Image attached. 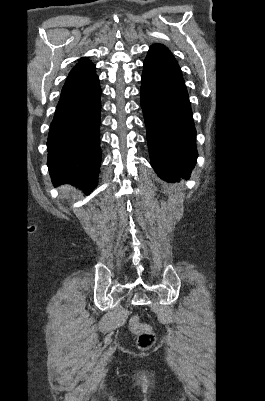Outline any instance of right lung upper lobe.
Masks as SVG:
<instances>
[{
	"label": "right lung upper lobe",
	"mask_w": 265,
	"mask_h": 401,
	"mask_svg": "<svg viewBox=\"0 0 265 401\" xmlns=\"http://www.w3.org/2000/svg\"><path fill=\"white\" fill-rule=\"evenodd\" d=\"M97 81L98 76L95 74V65L88 59L82 58L70 71L62 88V93L91 86Z\"/></svg>",
	"instance_id": "obj_1"
}]
</instances>
